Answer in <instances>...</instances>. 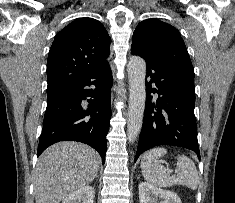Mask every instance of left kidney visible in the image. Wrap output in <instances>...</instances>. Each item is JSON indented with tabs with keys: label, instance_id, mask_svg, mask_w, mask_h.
Masks as SVG:
<instances>
[{
	"label": "left kidney",
	"instance_id": "left-kidney-1",
	"mask_svg": "<svg viewBox=\"0 0 235 203\" xmlns=\"http://www.w3.org/2000/svg\"><path fill=\"white\" fill-rule=\"evenodd\" d=\"M138 189L140 203H182L175 192L160 189L148 182H141Z\"/></svg>",
	"mask_w": 235,
	"mask_h": 203
}]
</instances>
